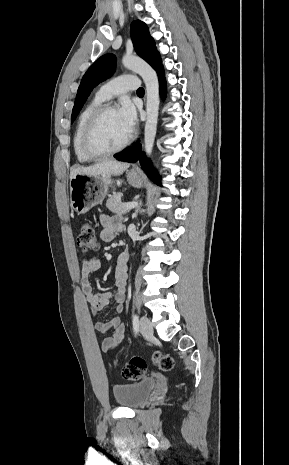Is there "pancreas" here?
<instances>
[{
    "label": "pancreas",
    "instance_id": "cf45deb5",
    "mask_svg": "<svg viewBox=\"0 0 289 465\" xmlns=\"http://www.w3.org/2000/svg\"><path fill=\"white\" fill-rule=\"evenodd\" d=\"M121 194L116 193L110 196V198L106 202V207L113 213L117 214H125L130 209H126L124 207V203L121 202Z\"/></svg>",
    "mask_w": 289,
    "mask_h": 465
}]
</instances>
